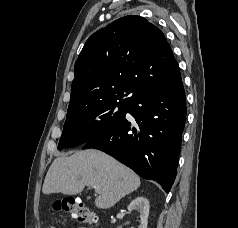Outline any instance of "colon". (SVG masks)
Returning <instances> with one entry per match:
<instances>
[{
  "label": "colon",
  "instance_id": "1",
  "mask_svg": "<svg viewBox=\"0 0 238 228\" xmlns=\"http://www.w3.org/2000/svg\"><path fill=\"white\" fill-rule=\"evenodd\" d=\"M56 210L66 211L80 223L95 224L98 221L97 216L88 208L78 204L74 199L68 198L54 205ZM43 228H56L52 224H45Z\"/></svg>",
  "mask_w": 238,
  "mask_h": 228
}]
</instances>
